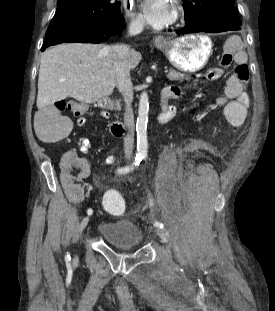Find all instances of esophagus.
<instances>
[{
	"label": "esophagus",
	"mask_w": 275,
	"mask_h": 311,
	"mask_svg": "<svg viewBox=\"0 0 275 311\" xmlns=\"http://www.w3.org/2000/svg\"><path fill=\"white\" fill-rule=\"evenodd\" d=\"M154 42L156 44H163V43H165V39H164L163 36L158 35V36L155 37Z\"/></svg>",
	"instance_id": "1"
}]
</instances>
